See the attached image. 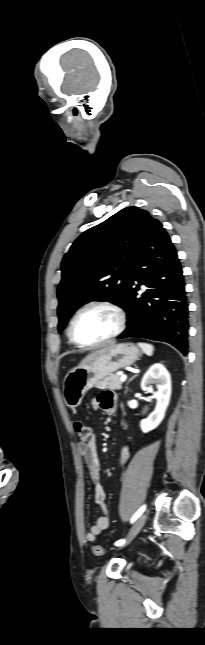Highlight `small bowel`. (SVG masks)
Returning <instances> with one entry per match:
<instances>
[{"label":"small bowel","mask_w":205,"mask_h":645,"mask_svg":"<svg viewBox=\"0 0 205 645\" xmlns=\"http://www.w3.org/2000/svg\"><path fill=\"white\" fill-rule=\"evenodd\" d=\"M94 409H102L107 413L114 411L117 404V397L110 391H105L99 394L93 400ZM77 452L83 458L88 469L90 479L94 485V503L104 512L97 518L96 522L85 533V539L89 542L95 541L97 536L110 526V516L106 506V493L101 483V467L97 453V441L94 435L86 443L77 444ZM129 449L124 447L120 454V466L123 467L129 459Z\"/></svg>","instance_id":"obj_1"}]
</instances>
